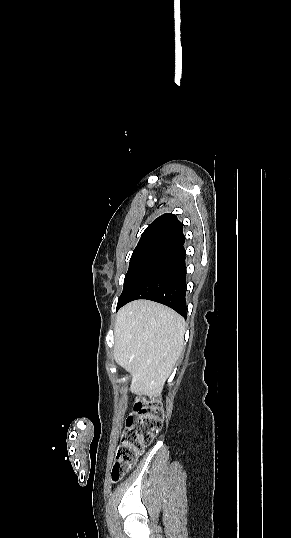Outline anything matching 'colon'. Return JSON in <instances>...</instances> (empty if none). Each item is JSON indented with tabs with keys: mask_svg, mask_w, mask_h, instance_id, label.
<instances>
[{
	"mask_svg": "<svg viewBox=\"0 0 291 538\" xmlns=\"http://www.w3.org/2000/svg\"><path fill=\"white\" fill-rule=\"evenodd\" d=\"M164 410L157 396L137 399L134 411L127 417L122 442L111 470V480L116 483L136 463L139 456L159 433Z\"/></svg>",
	"mask_w": 291,
	"mask_h": 538,
	"instance_id": "5ec220e1",
	"label": "colon"
}]
</instances>
